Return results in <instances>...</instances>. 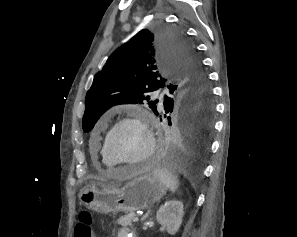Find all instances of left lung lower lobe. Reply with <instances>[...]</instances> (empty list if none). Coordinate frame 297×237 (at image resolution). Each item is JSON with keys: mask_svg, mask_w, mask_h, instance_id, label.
<instances>
[{"mask_svg": "<svg viewBox=\"0 0 297 237\" xmlns=\"http://www.w3.org/2000/svg\"><path fill=\"white\" fill-rule=\"evenodd\" d=\"M172 96L167 98L164 114H174L175 124L164 136L158 159L172 167L195 168L207 154L213 130L214 104L212 100L200 106L177 104L170 100ZM169 125L172 124L169 122Z\"/></svg>", "mask_w": 297, "mask_h": 237, "instance_id": "left-lung-lower-lobe-1", "label": "left lung lower lobe"}]
</instances>
